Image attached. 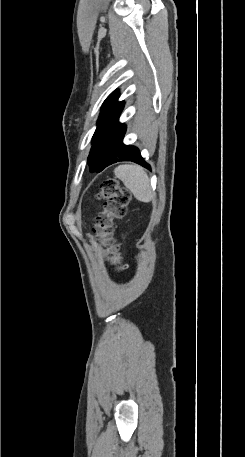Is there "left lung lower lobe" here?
Here are the masks:
<instances>
[{"mask_svg": "<svg viewBox=\"0 0 245 457\" xmlns=\"http://www.w3.org/2000/svg\"><path fill=\"white\" fill-rule=\"evenodd\" d=\"M118 118L111 123L97 126L88 157L91 172H100L108 165L119 161H133L147 169L150 165L144 161L138 148L123 144L126 126Z\"/></svg>", "mask_w": 245, "mask_h": 457, "instance_id": "left-lung-lower-lobe-1", "label": "left lung lower lobe"}]
</instances>
